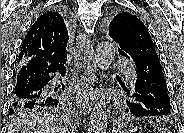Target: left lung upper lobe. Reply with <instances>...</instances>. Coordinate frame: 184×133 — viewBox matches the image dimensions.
I'll list each match as a JSON object with an SVG mask.
<instances>
[{
	"label": "left lung upper lobe",
	"instance_id": "5c2ea615",
	"mask_svg": "<svg viewBox=\"0 0 184 133\" xmlns=\"http://www.w3.org/2000/svg\"><path fill=\"white\" fill-rule=\"evenodd\" d=\"M109 35L119 45V54L133 60L149 59L160 64L154 43L144 23L130 12H118L109 23ZM126 91V90H125ZM130 101H134L132 92ZM128 110V109H127Z\"/></svg>",
	"mask_w": 184,
	"mask_h": 133
}]
</instances>
